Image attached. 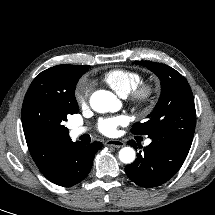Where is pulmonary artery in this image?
<instances>
[{
  "label": "pulmonary artery",
  "mask_w": 215,
  "mask_h": 215,
  "mask_svg": "<svg viewBox=\"0 0 215 215\" xmlns=\"http://www.w3.org/2000/svg\"><path fill=\"white\" fill-rule=\"evenodd\" d=\"M87 132V128L85 127H80V126H76V127H72L71 130H70V135L73 137V138H76L84 133ZM151 143V140L150 139H147L145 141V144L146 145H149Z\"/></svg>",
  "instance_id": "e3ab8cb5"
}]
</instances>
